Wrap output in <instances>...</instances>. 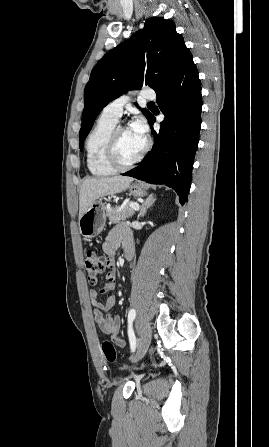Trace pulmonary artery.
Segmentation results:
<instances>
[{"instance_id": "e3ab8cb5", "label": "pulmonary artery", "mask_w": 269, "mask_h": 447, "mask_svg": "<svg viewBox=\"0 0 269 447\" xmlns=\"http://www.w3.org/2000/svg\"><path fill=\"white\" fill-rule=\"evenodd\" d=\"M141 96L145 99H155L157 93L155 90H145L144 93H141ZM130 100L131 98L129 95L119 96L105 106L103 113L115 120H118L122 115L123 107L127 105Z\"/></svg>"}]
</instances>
